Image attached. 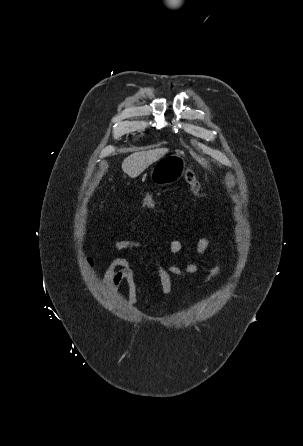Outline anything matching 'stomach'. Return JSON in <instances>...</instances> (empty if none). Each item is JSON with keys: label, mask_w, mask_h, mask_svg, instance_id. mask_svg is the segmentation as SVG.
Instances as JSON below:
<instances>
[{"label": "stomach", "mask_w": 303, "mask_h": 446, "mask_svg": "<svg viewBox=\"0 0 303 446\" xmlns=\"http://www.w3.org/2000/svg\"><path fill=\"white\" fill-rule=\"evenodd\" d=\"M186 162L179 154L159 160L151 171V182L156 186H166L178 181L184 174Z\"/></svg>", "instance_id": "obj_1"}]
</instances>
